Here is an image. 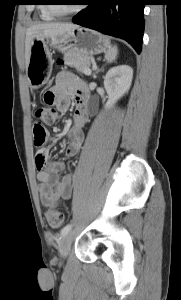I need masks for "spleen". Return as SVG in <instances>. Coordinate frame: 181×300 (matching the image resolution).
Here are the masks:
<instances>
[{
    "mask_svg": "<svg viewBox=\"0 0 181 300\" xmlns=\"http://www.w3.org/2000/svg\"><path fill=\"white\" fill-rule=\"evenodd\" d=\"M118 54L117 46L110 47L108 51L105 53V59L108 63H112Z\"/></svg>",
    "mask_w": 181,
    "mask_h": 300,
    "instance_id": "1",
    "label": "spleen"
}]
</instances>
